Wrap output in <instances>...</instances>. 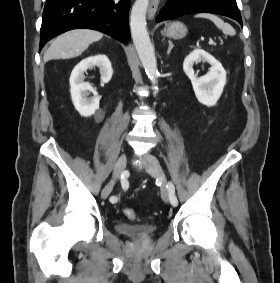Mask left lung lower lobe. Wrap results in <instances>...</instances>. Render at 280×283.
Returning <instances> with one entry per match:
<instances>
[{"label":"left lung lower lobe","instance_id":"0a47b994","mask_svg":"<svg viewBox=\"0 0 280 283\" xmlns=\"http://www.w3.org/2000/svg\"><path fill=\"white\" fill-rule=\"evenodd\" d=\"M208 12L230 17L242 26L238 7L223 0H167L156 21L171 20L186 14Z\"/></svg>","mask_w":280,"mask_h":283}]
</instances>
